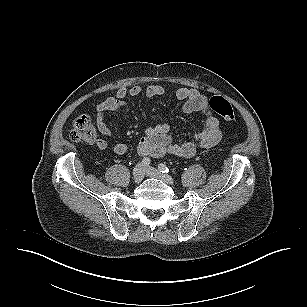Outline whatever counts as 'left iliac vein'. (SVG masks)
<instances>
[{
	"label": "left iliac vein",
	"mask_w": 307,
	"mask_h": 307,
	"mask_svg": "<svg viewBox=\"0 0 307 307\" xmlns=\"http://www.w3.org/2000/svg\"><path fill=\"white\" fill-rule=\"evenodd\" d=\"M144 171H145L147 176L160 179V180H162L163 182H165L166 184H169V185L174 184V180L171 176H169L167 174H163L162 172H160L159 170H157L153 167H150V166L145 167Z\"/></svg>",
	"instance_id": "obj_1"
}]
</instances>
